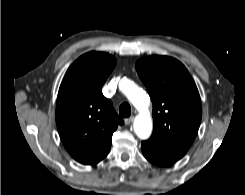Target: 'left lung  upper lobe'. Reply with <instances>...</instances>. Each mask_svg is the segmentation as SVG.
<instances>
[{
  "mask_svg": "<svg viewBox=\"0 0 245 195\" xmlns=\"http://www.w3.org/2000/svg\"><path fill=\"white\" fill-rule=\"evenodd\" d=\"M136 70L153 104L152 136L189 148L202 117L198 89L185 66L168 56H149Z\"/></svg>",
  "mask_w": 245,
  "mask_h": 195,
  "instance_id": "obj_1",
  "label": "left lung upper lobe"
}]
</instances>
